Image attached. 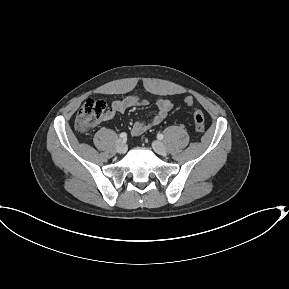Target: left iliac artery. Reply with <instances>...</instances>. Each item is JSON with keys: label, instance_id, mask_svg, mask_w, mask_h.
Returning a JSON list of instances; mask_svg holds the SVG:
<instances>
[{"label": "left iliac artery", "instance_id": "obj_1", "mask_svg": "<svg viewBox=\"0 0 289 289\" xmlns=\"http://www.w3.org/2000/svg\"><path fill=\"white\" fill-rule=\"evenodd\" d=\"M157 138H158L159 140H162V139H163V135L159 133V134L157 135Z\"/></svg>", "mask_w": 289, "mask_h": 289}]
</instances>
